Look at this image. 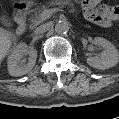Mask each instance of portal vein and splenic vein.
<instances>
[{
    "label": "portal vein and splenic vein",
    "mask_w": 119,
    "mask_h": 119,
    "mask_svg": "<svg viewBox=\"0 0 119 119\" xmlns=\"http://www.w3.org/2000/svg\"><path fill=\"white\" fill-rule=\"evenodd\" d=\"M58 11H59L58 8H52V9L44 10L41 13V19L42 20L48 19V18H50L52 16L53 13L58 12Z\"/></svg>",
    "instance_id": "portal-vein-and-splenic-vein-1"
}]
</instances>
